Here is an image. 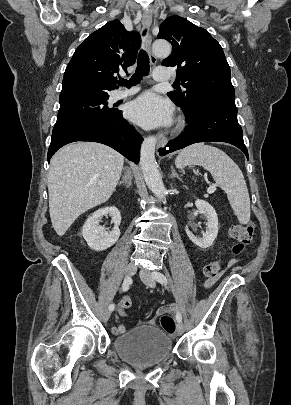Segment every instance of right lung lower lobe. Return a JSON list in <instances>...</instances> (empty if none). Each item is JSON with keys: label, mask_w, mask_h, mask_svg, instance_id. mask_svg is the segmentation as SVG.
Instances as JSON below:
<instances>
[{"label": "right lung lower lobe", "mask_w": 291, "mask_h": 405, "mask_svg": "<svg viewBox=\"0 0 291 405\" xmlns=\"http://www.w3.org/2000/svg\"><path fill=\"white\" fill-rule=\"evenodd\" d=\"M142 136L123 117L122 112L108 119L84 122L56 131L51 136L47 159L62 146L75 141H91L108 145L136 164L140 159Z\"/></svg>", "instance_id": "1"}]
</instances>
